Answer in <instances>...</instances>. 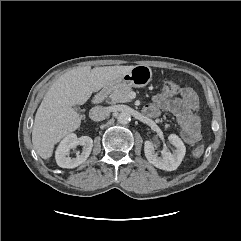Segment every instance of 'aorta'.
Here are the masks:
<instances>
[{
	"mask_svg": "<svg viewBox=\"0 0 241 241\" xmlns=\"http://www.w3.org/2000/svg\"><path fill=\"white\" fill-rule=\"evenodd\" d=\"M130 120H131V115L126 111H122L117 116V121L122 125L128 124Z\"/></svg>",
	"mask_w": 241,
	"mask_h": 241,
	"instance_id": "obj_1",
	"label": "aorta"
}]
</instances>
